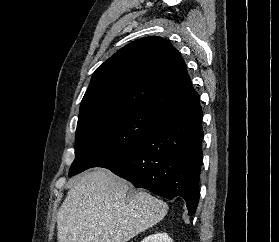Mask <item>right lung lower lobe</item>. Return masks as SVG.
I'll return each mask as SVG.
<instances>
[{
  "instance_id": "right-lung-lower-lobe-1",
  "label": "right lung lower lobe",
  "mask_w": 279,
  "mask_h": 242,
  "mask_svg": "<svg viewBox=\"0 0 279 242\" xmlns=\"http://www.w3.org/2000/svg\"><path fill=\"white\" fill-rule=\"evenodd\" d=\"M202 117L199 97L167 108L145 138L100 167L161 197L180 196L189 214L195 213L200 195Z\"/></svg>"
}]
</instances>
